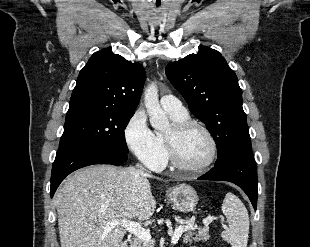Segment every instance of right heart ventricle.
Listing matches in <instances>:
<instances>
[{
	"label": "right heart ventricle",
	"instance_id": "e07e8e85",
	"mask_svg": "<svg viewBox=\"0 0 310 247\" xmlns=\"http://www.w3.org/2000/svg\"><path fill=\"white\" fill-rule=\"evenodd\" d=\"M169 113V112H168ZM169 115L172 117V119L176 122V121H184V120H188V115L185 116H177V115H173L171 113H169ZM157 138L160 142V144L162 145L164 152H165V156L166 159L168 158V152H167V147H166V143H165V135L162 133H157Z\"/></svg>",
	"mask_w": 310,
	"mask_h": 247
}]
</instances>
